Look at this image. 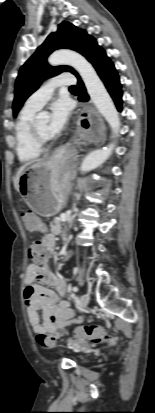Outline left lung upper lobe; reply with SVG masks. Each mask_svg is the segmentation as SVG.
Instances as JSON below:
<instances>
[{
	"instance_id": "1",
	"label": "left lung upper lobe",
	"mask_w": 155,
	"mask_h": 413,
	"mask_svg": "<svg viewBox=\"0 0 155 413\" xmlns=\"http://www.w3.org/2000/svg\"><path fill=\"white\" fill-rule=\"evenodd\" d=\"M60 48H67L81 53L89 62H92L102 50L96 40L86 31L78 29L69 22L63 21L55 33L48 36L45 42L21 67L15 83V98L13 115L16 116L25 100L36 91L43 80L60 74L71 72L77 77V72L69 66H50L46 59L50 53Z\"/></svg>"
}]
</instances>
